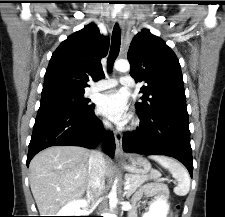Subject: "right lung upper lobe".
<instances>
[{"label": "right lung upper lobe", "instance_id": "obj_1", "mask_svg": "<svg viewBox=\"0 0 225 217\" xmlns=\"http://www.w3.org/2000/svg\"><path fill=\"white\" fill-rule=\"evenodd\" d=\"M108 46V38L100 34L94 23L69 36L52 54L42 94L85 92L89 79L103 77L101 59L107 55Z\"/></svg>", "mask_w": 225, "mask_h": 217}]
</instances>
